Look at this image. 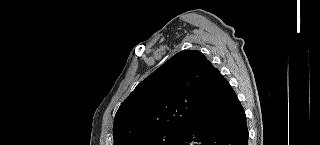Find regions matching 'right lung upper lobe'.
<instances>
[{
    "label": "right lung upper lobe",
    "instance_id": "obj_1",
    "mask_svg": "<svg viewBox=\"0 0 320 145\" xmlns=\"http://www.w3.org/2000/svg\"><path fill=\"white\" fill-rule=\"evenodd\" d=\"M225 78L197 50H184L143 80L119 107L114 145L162 129L185 128L216 108Z\"/></svg>",
    "mask_w": 320,
    "mask_h": 145
}]
</instances>
